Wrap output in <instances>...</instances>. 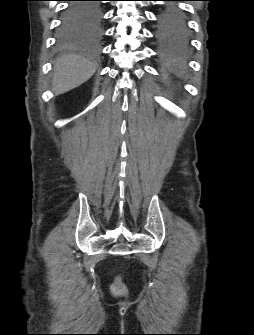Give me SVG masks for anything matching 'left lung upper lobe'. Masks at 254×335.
I'll list each match as a JSON object with an SVG mask.
<instances>
[{
	"mask_svg": "<svg viewBox=\"0 0 254 335\" xmlns=\"http://www.w3.org/2000/svg\"><path fill=\"white\" fill-rule=\"evenodd\" d=\"M160 33L163 36H172L181 33L186 28L184 13L175 5H168L159 18Z\"/></svg>",
	"mask_w": 254,
	"mask_h": 335,
	"instance_id": "left-lung-upper-lobe-1",
	"label": "left lung upper lobe"
}]
</instances>
